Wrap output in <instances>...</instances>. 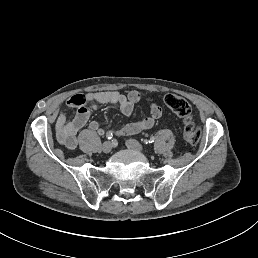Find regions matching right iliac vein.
<instances>
[{
  "label": "right iliac vein",
  "instance_id": "obj_1",
  "mask_svg": "<svg viewBox=\"0 0 258 258\" xmlns=\"http://www.w3.org/2000/svg\"><path fill=\"white\" fill-rule=\"evenodd\" d=\"M111 150H112V145H111L110 142L105 141V142L102 143V145H101V151H102V153L107 154V153H109Z\"/></svg>",
  "mask_w": 258,
  "mask_h": 258
}]
</instances>
